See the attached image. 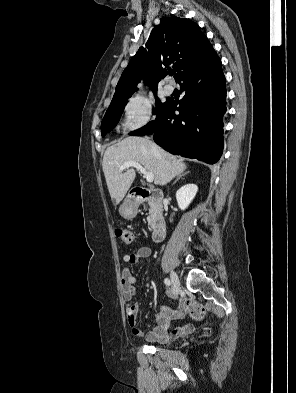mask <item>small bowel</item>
Instances as JSON below:
<instances>
[{
    "label": "small bowel",
    "instance_id": "small-bowel-1",
    "mask_svg": "<svg viewBox=\"0 0 296 393\" xmlns=\"http://www.w3.org/2000/svg\"><path fill=\"white\" fill-rule=\"evenodd\" d=\"M152 253L149 246H144L137 249L135 252L126 254L123 257L125 266L122 269L121 281L123 286V297L126 303V315L128 323L132 328V333L136 337H145L147 341L152 343H165L171 337H182L191 333L194 329L193 324H184L171 329V323L175 320L182 319L186 313L185 306L186 299L182 296L179 297L178 307L171 309L162 307L155 316V326L148 332L137 326L136 316L138 311V304L132 300L137 294L136 278L132 275L129 265L139 263L142 259L148 258ZM168 296H172V292L167 290Z\"/></svg>",
    "mask_w": 296,
    "mask_h": 393
}]
</instances>
